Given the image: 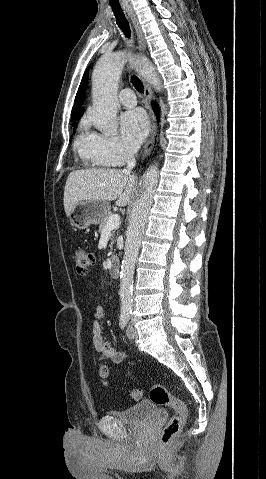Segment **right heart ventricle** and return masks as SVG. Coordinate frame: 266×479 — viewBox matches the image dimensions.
Returning a JSON list of instances; mask_svg holds the SVG:
<instances>
[{
	"label": "right heart ventricle",
	"instance_id": "e07e8e85",
	"mask_svg": "<svg viewBox=\"0 0 266 479\" xmlns=\"http://www.w3.org/2000/svg\"><path fill=\"white\" fill-rule=\"evenodd\" d=\"M94 142V134L88 133L83 127L81 128L74 145L80 158L85 164L92 166H107L108 164L97 155Z\"/></svg>",
	"mask_w": 266,
	"mask_h": 479
}]
</instances>
